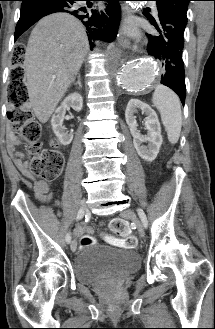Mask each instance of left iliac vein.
Segmentation results:
<instances>
[{"instance_id": "1", "label": "left iliac vein", "mask_w": 215, "mask_h": 329, "mask_svg": "<svg viewBox=\"0 0 215 329\" xmlns=\"http://www.w3.org/2000/svg\"><path fill=\"white\" fill-rule=\"evenodd\" d=\"M121 216L126 219L132 220L135 223L140 236L144 237V235H145L144 225L140 221V219L136 216L135 212L132 209L123 210L121 212Z\"/></svg>"}]
</instances>
